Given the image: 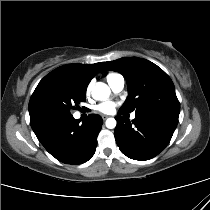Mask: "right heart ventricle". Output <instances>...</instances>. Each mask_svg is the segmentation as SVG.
I'll return each instance as SVG.
<instances>
[{"label":"right heart ventricle","instance_id":"obj_1","mask_svg":"<svg viewBox=\"0 0 210 210\" xmlns=\"http://www.w3.org/2000/svg\"><path fill=\"white\" fill-rule=\"evenodd\" d=\"M118 74H115V73H111V74H108L106 79L107 81H110L112 78L116 77Z\"/></svg>","mask_w":210,"mask_h":210}]
</instances>
